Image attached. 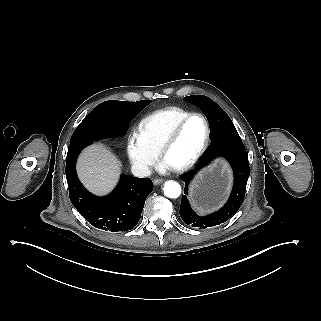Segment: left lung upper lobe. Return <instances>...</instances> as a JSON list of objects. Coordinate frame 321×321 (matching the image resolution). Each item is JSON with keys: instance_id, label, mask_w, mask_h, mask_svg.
<instances>
[{"instance_id": "1", "label": "left lung upper lobe", "mask_w": 321, "mask_h": 321, "mask_svg": "<svg viewBox=\"0 0 321 321\" xmlns=\"http://www.w3.org/2000/svg\"><path fill=\"white\" fill-rule=\"evenodd\" d=\"M186 101H189L197 105L201 111L208 117L209 114L217 113L219 118H216V121L210 125V134H218L227 130L236 129L225 111L213 102L210 98L203 95H191L184 98Z\"/></svg>"}]
</instances>
